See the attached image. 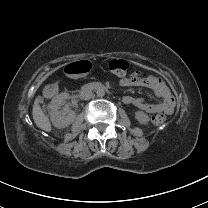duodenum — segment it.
Listing matches in <instances>:
<instances>
[{
  "mask_svg": "<svg viewBox=\"0 0 208 208\" xmlns=\"http://www.w3.org/2000/svg\"><path fill=\"white\" fill-rule=\"evenodd\" d=\"M84 90H106V88L101 83L93 82L86 84Z\"/></svg>",
  "mask_w": 208,
  "mask_h": 208,
  "instance_id": "duodenum-1",
  "label": "duodenum"
}]
</instances>
